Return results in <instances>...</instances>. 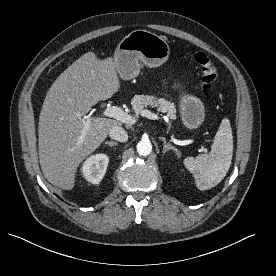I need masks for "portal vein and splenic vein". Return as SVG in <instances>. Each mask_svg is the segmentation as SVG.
<instances>
[{
    "label": "portal vein and splenic vein",
    "instance_id": "18ae733b",
    "mask_svg": "<svg viewBox=\"0 0 276 276\" xmlns=\"http://www.w3.org/2000/svg\"><path fill=\"white\" fill-rule=\"evenodd\" d=\"M102 115L106 116V117L114 118L123 123L134 124L137 121V118L135 116L129 115L128 113L124 112V110L118 106L107 107L102 112ZM141 116L147 117L152 120L159 119V116L157 114L152 113L149 110H142ZM83 122H84V127H83V131H82V136L80 137V139H83L86 132L88 131L91 119L89 117H84Z\"/></svg>",
    "mask_w": 276,
    "mask_h": 276
}]
</instances>
